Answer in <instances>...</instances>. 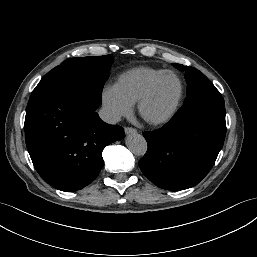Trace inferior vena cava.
I'll use <instances>...</instances> for the list:
<instances>
[{
	"instance_id": "obj_1",
	"label": "inferior vena cava",
	"mask_w": 257,
	"mask_h": 257,
	"mask_svg": "<svg viewBox=\"0 0 257 257\" xmlns=\"http://www.w3.org/2000/svg\"><path fill=\"white\" fill-rule=\"evenodd\" d=\"M99 116L100 118L109 124H115L120 121L121 116L119 115L118 112L108 108V107H102L99 110Z\"/></svg>"
}]
</instances>
